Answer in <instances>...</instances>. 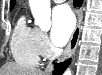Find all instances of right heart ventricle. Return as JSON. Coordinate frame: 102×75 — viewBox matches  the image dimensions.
<instances>
[{"mask_svg":"<svg viewBox=\"0 0 102 75\" xmlns=\"http://www.w3.org/2000/svg\"><path fill=\"white\" fill-rule=\"evenodd\" d=\"M38 31L37 28L29 26L24 17L19 18L10 43L11 54L16 62L29 66L38 64Z\"/></svg>","mask_w":102,"mask_h":75,"instance_id":"e07e8e85","label":"right heart ventricle"}]
</instances>
